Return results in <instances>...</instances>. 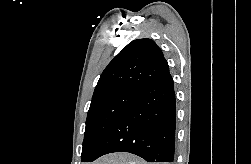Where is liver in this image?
<instances>
[{
	"label": "liver",
	"instance_id": "6515ba94",
	"mask_svg": "<svg viewBox=\"0 0 251 164\" xmlns=\"http://www.w3.org/2000/svg\"><path fill=\"white\" fill-rule=\"evenodd\" d=\"M92 164H148L141 158L128 153H112L101 157Z\"/></svg>",
	"mask_w": 251,
	"mask_h": 164
}]
</instances>
